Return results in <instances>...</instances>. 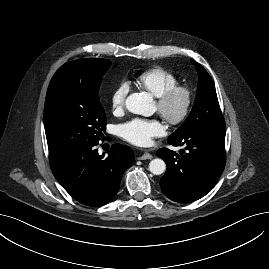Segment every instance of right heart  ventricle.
Instances as JSON below:
<instances>
[{
    "label": "right heart ventricle",
    "instance_id": "e07e8e85",
    "mask_svg": "<svg viewBox=\"0 0 269 269\" xmlns=\"http://www.w3.org/2000/svg\"><path fill=\"white\" fill-rule=\"evenodd\" d=\"M136 83L140 88L157 97L167 89L178 85L179 80L171 71L156 67L140 73L136 78Z\"/></svg>",
    "mask_w": 269,
    "mask_h": 269
}]
</instances>
